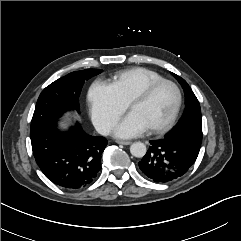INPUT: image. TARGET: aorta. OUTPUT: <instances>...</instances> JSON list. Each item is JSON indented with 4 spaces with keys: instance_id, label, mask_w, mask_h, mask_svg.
<instances>
[{
    "instance_id": "1",
    "label": "aorta",
    "mask_w": 241,
    "mask_h": 241,
    "mask_svg": "<svg viewBox=\"0 0 241 241\" xmlns=\"http://www.w3.org/2000/svg\"><path fill=\"white\" fill-rule=\"evenodd\" d=\"M146 145L142 142H135L130 146V152L134 157L142 158L146 154Z\"/></svg>"
}]
</instances>
